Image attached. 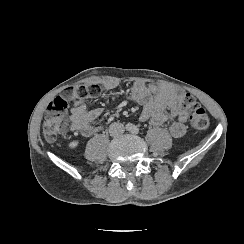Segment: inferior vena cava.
Returning <instances> with one entry per match:
<instances>
[{"mask_svg": "<svg viewBox=\"0 0 244 244\" xmlns=\"http://www.w3.org/2000/svg\"><path fill=\"white\" fill-rule=\"evenodd\" d=\"M124 132V126L121 123H112L109 126V133L112 137H119Z\"/></svg>", "mask_w": 244, "mask_h": 244, "instance_id": "602c4592", "label": "inferior vena cava"}]
</instances>
